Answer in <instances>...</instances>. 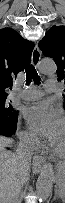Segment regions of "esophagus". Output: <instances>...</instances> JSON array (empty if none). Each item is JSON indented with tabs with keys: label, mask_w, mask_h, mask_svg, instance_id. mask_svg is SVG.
<instances>
[{
	"label": "esophagus",
	"mask_w": 65,
	"mask_h": 203,
	"mask_svg": "<svg viewBox=\"0 0 65 203\" xmlns=\"http://www.w3.org/2000/svg\"><path fill=\"white\" fill-rule=\"evenodd\" d=\"M40 59H41V53L38 47L36 46L32 52V64L34 66H38ZM44 163H45V159L42 156L35 155L33 157V163H32L34 171H39Z\"/></svg>",
	"instance_id": "34e87169"
}]
</instances>
